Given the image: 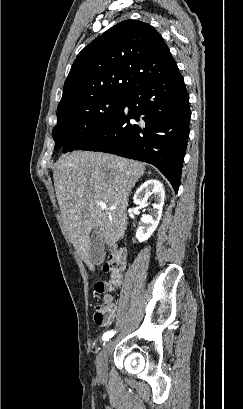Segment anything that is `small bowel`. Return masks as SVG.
<instances>
[{
    "instance_id": "small-bowel-1",
    "label": "small bowel",
    "mask_w": 243,
    "mask_h": 409,
    "mask_svg": "<svg viewBox=\"0 0 243 409\" xmlns=\"http://www.w3.org/2000/svg\"><path fill=\"white\" fill-rule=\"evenodd\" d=\"M103 302L106 303V304H108V306L111 308V312H112V313H111V317H110L109 320L104 324V326H106V325H108V324L111 322L113 316L115 315V313H116V306H115V304L113 303L112 296H110V295H105V296L103 297Z\"/></svg>"
}]
</instances>
